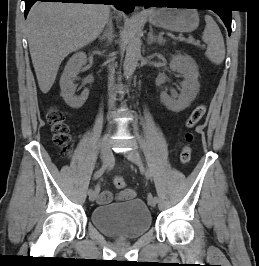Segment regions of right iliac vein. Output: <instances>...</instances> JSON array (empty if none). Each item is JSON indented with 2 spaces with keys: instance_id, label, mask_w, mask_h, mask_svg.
Wrapping results in <instances>:
<instances>
[{
  "instance_id": "63e3f726",
  "label": "right iliac vein",
  "mask_w": 259,
  "mask_h": 266,
  "mask_svg": "<svg viewBox=\"0 0 259 266\" xmlns=\"http://www.w3.org/2000/svg\"><path fill=\"white\" fill-rule=\"evenodd\" d=\"M111 132H112V127H109L106 135L103 138V142L101 146V159L103 163L108 162L111 158L110 144H109ZM97 195H98L97 191L92 190V192L89 194V200L94 201Z\"/></svg>"
}]
</instances>
